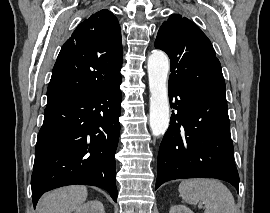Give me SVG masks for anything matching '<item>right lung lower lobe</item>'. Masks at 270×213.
<instances>
[{
    "label": "right lung lower lobe",
    "instance_id": "98d812e1",
    "mask_svg": "<svg viewBox=\"0 0 270 213\" xmlns=\"http://www.w3.org/2000/svg\"><path fill=\"white\" fill-rule=\"evenodd\" d=\"M120 84L48 103L31 178L34 207L43 193L72 184L101 187L117 201L114 155L120 134Z\"/></svg>",
    "mask_w": 270,
    "mask_h": 213
}]
</instances>
